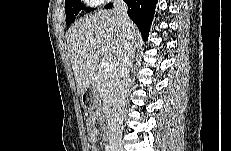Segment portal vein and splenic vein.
Returning a JSON list of instances; mask_svg holds the SVG:
<instances>
[{
  "mask_svg": "<svg viewBox=\"0 0 231 151\" xmlns=\"http://www.w3.org/2000/svg\"><path fill=\"white\" fill-rule=\"evenodd\" d=\"M107 50L105 48H101V53L106 54ZM103 69L105 72H112L114 69L113 62L110 60H106L103 64Z\"/></svg>",
  "mask_w": 231,
  "mask_h": 151,
  "instance_id": "obj_1",
  "label": "portal vein and splenic vein"
}]
</instances>
